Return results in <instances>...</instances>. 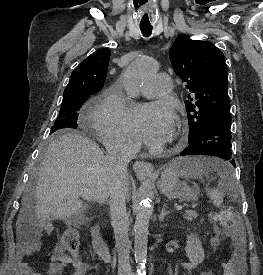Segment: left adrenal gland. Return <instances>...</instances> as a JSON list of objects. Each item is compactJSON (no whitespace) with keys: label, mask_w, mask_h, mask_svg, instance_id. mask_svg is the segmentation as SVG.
<instances>
[{"label":"left adrenal gland","mask_w":263,"mask_h":275,"mask_svg":"<svg viewBox=\"0 0 263 275\" xmlns=\"http://www.w3.org/2000/svg\"><path fill=\"white\" fill-rule=\"evenodd\" d=\"M165 207H166V204L164 203L161 213L158 217L160 222H162L164 220L165 216L169 214V211H166Z\"/></svg>","instance_id":"1"}]
</instances>
